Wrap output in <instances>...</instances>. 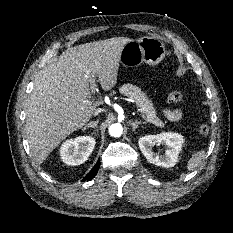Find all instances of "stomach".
Instances as JSON below:
<instances>
[{"label":"stomach","mask_w":233,"mask_h":233,"mask_svg":"<svg viewBox=\"0 0 233 233\" xmlns=\"http://www.w3.org/2000/svg\"><path fill=\"white\" fill-rule=\"evenodd\" d=\"M163 42L153 37H141L128 42L122 52L120 61L125 67H134L140 63L154 66L165 57Z\"/></svg>","instance_id":"stomach-1"}]
</instances>
